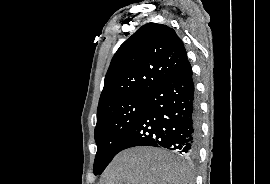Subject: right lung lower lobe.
<instances>
[{
	"mask_svg": "<svg viewBox=\"0 0 270 184\" xmlns=\"http://www.w3.org/2000/svg\"><path fill=\"white\" fill-rule=\"evenodd\" d=\"M199 109L187 60L147 95L146 106L118 153L135 146L164 147L190 157L197 154Z\"/></svg>",
	"mask_w": 270,
	"mask_h": 184,
	"instance_id": "right-lung-lower-lobe-1",
	"label": "right lung lower lobe"
}]
</instances>
